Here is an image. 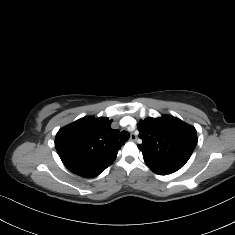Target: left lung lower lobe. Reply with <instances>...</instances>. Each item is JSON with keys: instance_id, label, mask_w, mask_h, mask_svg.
Instances as JSON below:
<instances>
[{"instance_id": "0a47b994", "label": "left lung lower lobe", "mask_w": 235, "mask_h": 235, "mask_svg": "<svg viewBox=\"0 0 235 235\" xmlns=\"http://www.w3.org/2000/svg\"><path fill=\"white\" fill-rule=\"evenodd\" d=\"M144 161L154 173L159 175L171 174L181 168L179 165L163 163L152 159H144Z\"/></svg>"}]
</instances>
